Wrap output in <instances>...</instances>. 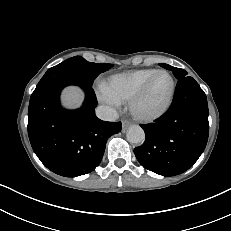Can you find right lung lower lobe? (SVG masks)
<instances>
[{"label":"right lung lower lobe","mask_w":231,"mask_h":231,"mask_svg":"<svg viewBox=\"0 0 231 231\" xmlns=\"http://www.w3.org/2000/svg\"><path fill=\"white\" fill-rule=\"evenodd\" d=\"M78 85L86 93L80 109H63L61 90ZM97 99L91 86L62 79L34 91L28 109V136L40 161L52 172L77 177L101 162L109 136L121 131V122L102 121L95 115Z\"/></svg>","instance_id":"1"}]
</instances>
